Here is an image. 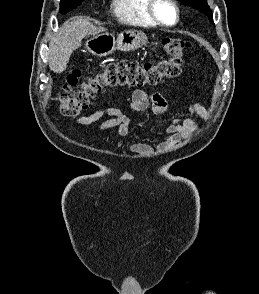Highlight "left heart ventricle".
I'll return each instance as SVG.
<instances>
[{"mask_svg":"<svg viewBox=\"0 0 259 294\" xmlns=\"http://www.w3.org/2000/svg\"><path fill=\"white\" fill-rule=\"evenodd\" d=\"M156 12L158 16L166 23H173L175 20L174 9L169 3L165 1H160L157 3Z\"/></svg>","mask_w":259,"mask_h":294,"instance_id":"left-heart-ventricle-1","label":"left heart ventricle"}]
</instances>
